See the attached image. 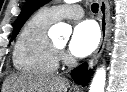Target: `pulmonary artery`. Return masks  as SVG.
<instances>
[{"mask_svg": "<svg viewBox=\"0 0 127 92\" xmlns=\"http://www.w3.org/2000/svg\"><path fill=\"white\" fill-rule=\"evenodd\" d=\"M55 20L64 18L78 19L83 16V9L80 5L70 2L61 5H54L45 9Z\"/></svg>", "mask_w": 127, "mask_h": 92, "instance_id": "obj_1", "label": "pulmonary artery"}]
</instances>
